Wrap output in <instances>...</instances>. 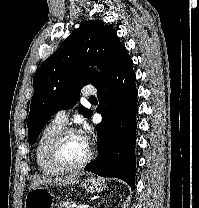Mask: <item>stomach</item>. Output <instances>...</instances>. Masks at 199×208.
<instances>
[{"label":"stomach","instance_id":"stomach-1","mask_svg":"<svg viewBox=\"0 0 199 208\" xmlns=\"http://www.w3.org/2000/svg\"><path fill=\"white\" fill-rule=\"evenodd\" d=\"M82 189L90 194L102 192L106 185L99 178L86 177L81 181ZM54 195L46 186H39L30 190L24 201V208H53Z\"/></svg>","mask_w":199,"mask_h":208}]
</instances>
